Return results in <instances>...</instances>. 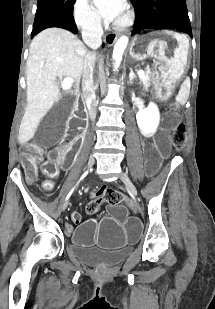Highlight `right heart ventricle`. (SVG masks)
<instances>
[{
    "instance_id": "right-heart-ventricle-1",
    "label": "right heart ventricle",
    "mask_w": 215,
    "mask_h": 309,
    "mask_svg": "<svg viewBox=\"0 0 215 309\" xmlns=\"http://www.w3.org/2000/svg\"><path fill=\"white\" fill-rule=\"evenodd\" d=\"M89 44H98V43H89Z\"/></svg>"
}]
</instances>
